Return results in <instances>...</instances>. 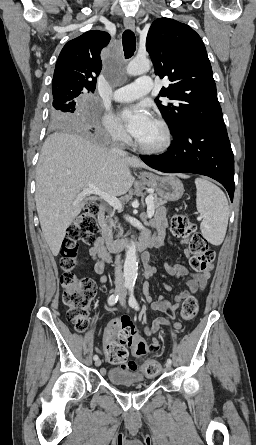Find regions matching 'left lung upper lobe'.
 <instances>
[{
    "label": "left lung upper lobe",
    "mask_w": 256,
    "mask_h": 445,
    "mask_svg": "<svg viewBox=\"0 0 256 445\" xmlns=\"http://www.w3.org/2000/svg\"><path fill=\"white\" fill-rule=\"evenodd\" d=\"M146 50L155 73L170 84L159 95L171 102H155L175 133L193 118L223 120L205 45L188 25L169 18L155 20L147 34Z\"/></svg>",
    "instance_id": "5c2ea615"
}]
</instances>
